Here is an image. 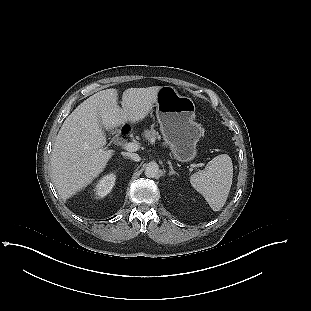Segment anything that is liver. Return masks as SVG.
<instances>
[{
	"mask_svg": "<svg viewBox=\"0 0 311 311\" xmlns=\"http://www.w3.org/2000/svg\"><path fill=\"white\" fill-rule=\"evenodd\" d=\"M160 86L129 88L122 108L116 89H106L83 101L65 119L51 156V176L59 195L67 199L89 185L105 169L114 154L104 148L103 128L112 130L127 122L143 120L156 101Z\"/></svg>",
	"mask_w": 311,
	"mask_h": 311,
	"instance_id": "6515ba94",
	"label": "liver"
}]
</instances>
